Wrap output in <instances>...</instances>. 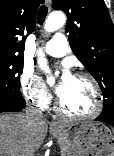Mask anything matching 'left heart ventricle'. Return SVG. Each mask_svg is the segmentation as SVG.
<instances>
[{"label": "left heart ventricle", "instance_id": "obj_1", "mask_svg": "<svg viewBox=\"0 0 114 156\" xmlns=\"http://www.w3.org/2000/svg\"><path fill=\"white\" fill-rule=\"evenodd\" d=\"M59 98L63 109L70 114H88L95 107L93 87L84 78L72 77Z\"/></svg>", "mask_w": 114, "mask_h": 156}]
</instances>
